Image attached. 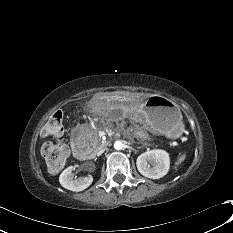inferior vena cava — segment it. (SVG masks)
I'll return each instance as SVG.
<instances>
[{
    "label": "inferior vena cava",
    "instance_id": "inferior-vena-cava-1",
    "mask_svg": "<svg viewBox=\"0 0 233 233\" xmlns=\"http://www.w3.org/2000/svg\"><path fill=\"white\" fill-rule=\"evenodd\" d=\"M104 151H105L104 148L99 149V150L97 151V153H96L97 156H100Z\"/></svg>",
    "mask_w": 233,
    "mask_h": 233
}]
</instances>
